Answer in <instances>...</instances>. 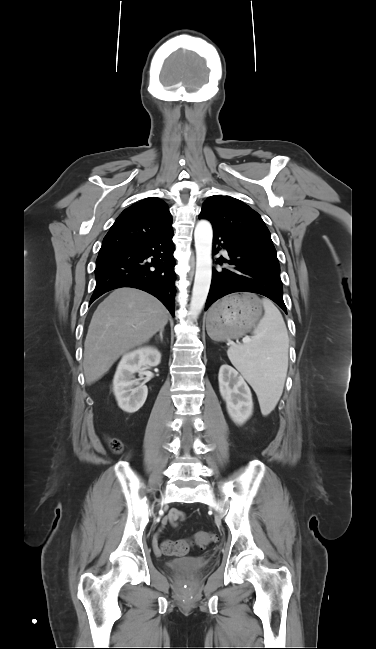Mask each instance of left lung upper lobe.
I'll list each match as a JSON object with an SVG mask.
<instances>
[{
  "label": "left lung upper lobe",
  "instance_id": "left-lung-upper-lobe-1",
  "mask_svg": "<svg viewBox=\"0 0 376 649\" xmlns=\"http://www.w3.org/2000/svg\"><path fill=\"white\" fill-rule=\"evenodd\" d=\"M199 217L208 219L213 228L277 258L270 232L262 218L242 201L230 196H211L203 203Z\"/></svg>",
  "mask_w": 376,
  "mask_h": 649
}]
</instances>
